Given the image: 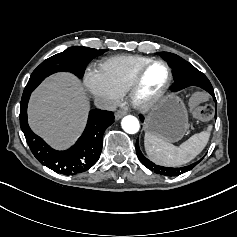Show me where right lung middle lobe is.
<instances>
[{
    "instance_id": "dd1d6c3e",
    "label": "right lung middle lobe",
    "mask_w": 237,
    "mask_h": 237,
    "mask_svg": "<svg viewBox=\"0 0 237 237\" xmlns=\"http://www.w3.org/2000/svg\"><path fill=\"white\" fill-rule=\"evenodd\" d=\"M107 50L74 46L43 61L31 74L24 91H33L47 76L61 71L82 78L87 64Z\"/></svg>"
}]
</instances>
